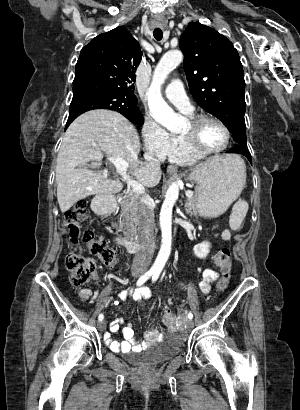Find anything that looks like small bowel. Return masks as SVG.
Listing matches in <instances>:
<instances>
[{"mask_svg": "<svg viewBox=\"0 0 300 410\" xmlns=\"http://www.w3.org/2000/svg\"><path fill=\"white\" fill-rule=\"evenodd\" d=\"M223 238L227 239L230 236L228 231H224L222 234ZM219 277V273L212 269H206L202 273L201 280L199 282V289L202 293L208 294L211 291V285L214 281H216ZM151 294L148 289H139V290H132L127 289L122 291L119 294L120 300L126 299H133V300H141V299H148L150 298ZM79 297L82 301H89L90 303H94L98 300L99 295L97 292H93L89 288H83L79 292ZM103 307V303L99 304V309ZM121 331L123 340L116 341L111 338V333H117ZM105 339L107 344L109 345L112 351H129V350H141L142 348L146 347L147 345L153 344L157 340L161 339V334L159 329L152 327L149 329L142 341H139L135 338L134 330L132 325L129 323H125L122 318H118L114 320L110 325V332L105 334Z\"/></svg>", "mask_w": 300, "mask_h": 410, "instance_id": "1", "label": "small bowel"}]
</instances>
